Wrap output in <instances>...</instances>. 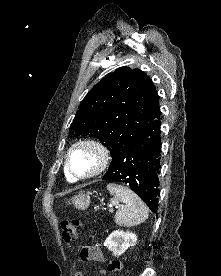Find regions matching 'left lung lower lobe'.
Listing matches in <instances>:
<instances>
[{
	"mask_svg": "<svg viewBox=\"0 0 221 276\" xmlns=\"http://www.w3.org/2000/svg\"><path fill=\"white\" fill-rule=\"evenodd\" d=\"M160 115L145 124L134 139L112 156L103 179L127 184L154 212L158 210Z\"/></svg>",
	"mask_w": 221,
	"mask_h": 276,
	"instance_id": "obj_1",
	"label": "left lung lower lobe"
}]
</instances>
